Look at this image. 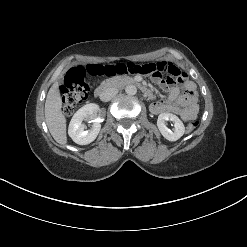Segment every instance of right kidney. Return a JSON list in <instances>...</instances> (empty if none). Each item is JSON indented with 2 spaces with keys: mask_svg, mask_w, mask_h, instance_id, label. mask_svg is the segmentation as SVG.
Returning <instances> with one entry per match:
<instances>
[{
  "mask_svg": "<svg viewBox=\"0 0 247 247\" xmlns=\"http://www.w3.org/2000/svg\"><path fill=\"white\" fill-rule=\"evenodd\" d=\"M98 110V105L90 103L81 107L73 115L69 124L68 134L75 143L79 145H87L96 139L101 129V124L95 121L91 129L85 130V125L82 124V121L88 116L96 117V112Z\"/></svg>",
  "mask_w": 247,
  "mask_h": 247,
  "instance_id": "obj_1",
  "label": "right kidney"
}]
</instances>
